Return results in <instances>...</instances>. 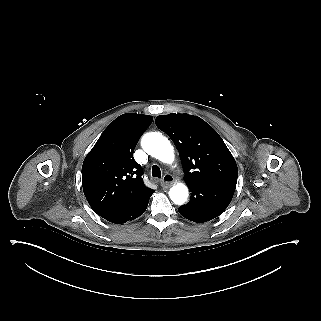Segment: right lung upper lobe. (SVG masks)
I'll return each instance as SVG.
<instances>
[{"mask_svg":"<svg viewBox=\"0 0 321 321\" xmlns=\"http://www.w3.org/2000/svg\"><path fill=\"white\" fill-rule=\"evenodd\" d=\"M153 120L152 116L127 113L103 131L82 166V186L92 209L100 216L119 210L150 192L143 170L135 162V146Z\"/></svg>","mask_w":321,"mask_h":321,"instance_id":"right-lung-upper-lobe-1","label":"right lung upper lobe"}]
</instances>
